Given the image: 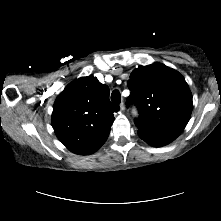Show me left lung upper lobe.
Instances as JSON below:
<instances>
[{"label":"left lung upper lobe","instance_id":"5c2ea615","mask_svg":"<svg viewBox=\"0 0 221 221\" xmlns=\"http://www.w3.org/2000/svg\"><path fill=\"white\" fill-rule=\"evenodd\" d=\"M131 91L127 105L135 104L139 117L135 124L141 131L175 139L187 125L193 103L183 76L154 63L135 69L128 81Z\"/></svg>","mask_w":221,"mask_h":221}]
</instances>
